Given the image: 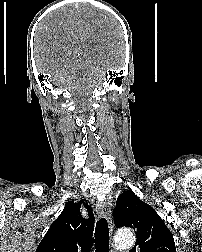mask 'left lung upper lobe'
I'll list each match as a JSON object with an SVG mask.
<instances>
[{
    "label": "left lung upper lobe",
    "instance_id": "5c2ea615",
    "mask_svg": "<svg viewBox=\"0 0 202 252\" xmlns=\"http://www.w3.org/2000/svg\"><path fill=\"white\" fill-rule=\"evenodd\" d=\"M117 227L134 229L137 242L130 252H176L173 236L161 217L133 191L121 194L113 212Z\"/></svg>",
    "mask_w": 202,
    "mask_h": 252
}]
</instances>
